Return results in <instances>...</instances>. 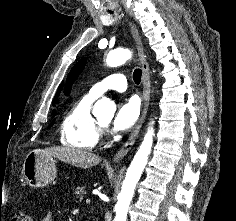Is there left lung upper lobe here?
<instances>
[{
    "mask_svg": "<svg viewBox=\"0 0 236 221\" xmlns=\"http://www.w3.org/2000/svg\"><path fill=\"white\" fill-rule=\"evenodd\" d=\"M85 64H86V58L81 59L79 62H77V64L72 68V70L68 74L67 84H66V87H65V90H64L66 95L69 94L73 82L76 80V78L82 72V70L84 69Z\"/></svg>",
    "mask_w": 236,
    "mask_h": 221,
    "instance_id": "5c2ea615",
    "label": "left lung upper lobe"
}]
</instances>
